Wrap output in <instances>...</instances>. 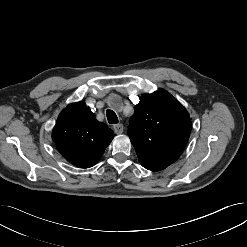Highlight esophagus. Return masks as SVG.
<instances>
[{"label":"esophagus","mask_w":247,"mask_h":247,"mask_svg":"<svg viewBox=\"0 0 247 247\" xmlns=\"http://www.w3.org/2000/svg\"><path fill=\"white\" fill-rule=\"evenodd\" d=\"M113 128H114V131L116 134H122L123 133V129H124L123 124H121V123L115 124L113 126Z\"/></svg>","instance_id":"34e87169"}]
</instances>
